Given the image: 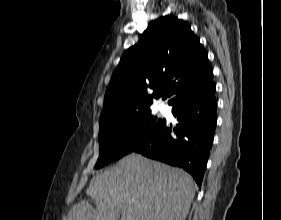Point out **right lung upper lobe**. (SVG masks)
I'll return each instance as SVG.
<instances>
[{"mask_svg": "<svg viewBox=\"0 0 281 220\" xmlns=\"http://www.w3.org/2000/svg\"><path fill=\"white\" fill-rule=\"evenodd\" d=\"M207 55L185 21L164 16L150 22L139 42L124 52L111 77L100 127L148 109L153 98L162 96L169 103L182 93L211 84L213 69Z\"/></svg>", "mask_w": 281, "mask_h": 220, "instance_id": "obj_1", "label": "right lung upper lobe"}]
</instances>
